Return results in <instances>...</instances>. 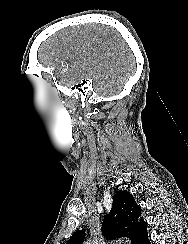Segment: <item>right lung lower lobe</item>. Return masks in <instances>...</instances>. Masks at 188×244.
Returning <instances> with one entry per match:
<instances>
[{
  "mask_svg": "<svg viewBox=\"0 0 188 244\" xmlns=\"http://www.w3.org/2000/svg\"><path fill=\"white\" fill-rule=\"evenodd\" d=\"M135 244H149L147 231L141 236V238L135 242Z\"/></svg>",
  "mask_w": 188,
  "mask_h": 244,
  "instance_id": "1",
  "label": "right lung lower lobe"
}]
</instances>
